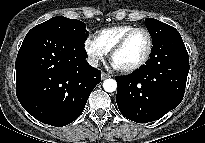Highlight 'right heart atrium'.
I'll list each match as a JSON object with an SVG mask.
<instances>
[{
	"mask_svg": "<svg viewBox=\"0 0 205 143\" xmlns=\"http://www.w3.org/2000/svg\"><path fill=\"white\" fill-rule=\"evenodd\" d=\"M84 50L91 64L97 65L104 60L107 52L100 46L96 39L87 37L84 41Z\"/></svg>",
	"mask_w": 205,
	"mask_h": 143,
	"instance_id": "d8ad5b80",
	"label": "right heart atrium"
}]
</instances>
